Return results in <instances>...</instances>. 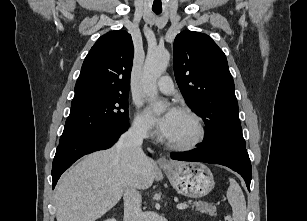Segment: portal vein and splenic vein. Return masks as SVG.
<instances>
[{
    "label": "portal vein and splenic vein",
    "instance_id": "1",
    "mask_svg": "<svg viewBox=\"0 0 307 221\" xmlns=\"http://www.w3.org/2000/svg\"><path fill=\"white\" fill-rule=\"evenodd\" d=\"M177 208L180 210L188 208V205L186 203H180L177 205Z\"/></svg>",
    "mask_w": 307,
    "mask_h": 221
}]
</instances>
